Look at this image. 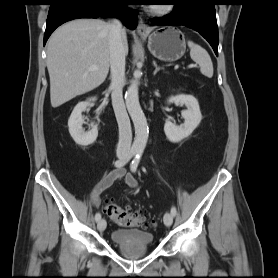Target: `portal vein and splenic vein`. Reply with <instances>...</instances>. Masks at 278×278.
Masks as SVG:
<instances>
[{
    "label": "portal vein and splenic vein",
    "mask_w": 278,
    "mask_h": 278,
    "mask_svg": "<svg viewBox=\"0 0 278 278\" xmlns=\"http://www.w3.org/2000/svg\"><path fill=\"white\" fill-rule=\"evenodd\" d=\"M192 67H193L192 65H189V66H188L189 69L192 68ZM89 70L96 71V70H98V67H97L96 65H92V66L89 68Z\"/></svg>",
    "instance_id": "18ae733b"
}]
</instances>
